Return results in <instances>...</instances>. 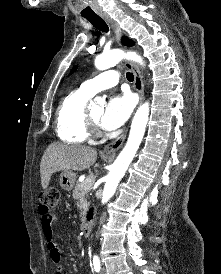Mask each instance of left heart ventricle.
Here are the masks:
<instances>
[{
	"mask_svg": "<svg viewBox=\"0 0 221 274\" xmlns=\"http://www.w3.org/2000/svg\"><path fill=\"white\" fill-rule=\"evenodd\" d=\"M90 113L93 116V118H95L97 121H99V119L101 118V116L103 114V109L98 108V109L92 110Z\"/></svg>",
	"mask_w": 221,
	"mask_h": 274,
	"instance_id": "left-heart-ventricle-1",
	"label": "left heart ventricle"
}]
</instances>
